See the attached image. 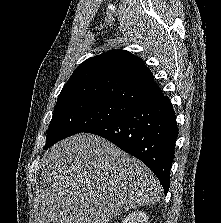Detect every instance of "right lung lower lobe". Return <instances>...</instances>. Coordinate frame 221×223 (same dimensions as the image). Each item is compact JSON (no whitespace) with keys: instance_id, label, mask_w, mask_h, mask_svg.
I'll return each mask as SVG.
<instances>
[{"instance_id":"1","label":"right lung lower lobe","mask_w":221,"mask_h":223,"mask_svg":"<svg viewBox=\"0 0 221 223\" xmlns=\"http://www.w3.org/2000/svg\"><path fill=\"white\" fill-rule=\"evenodd\" d=\"M135 156L157 176L167 194L178 128L170 100L160 95L87 131Z\"/></svg>"}]
</instances>
